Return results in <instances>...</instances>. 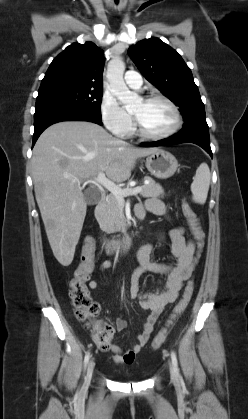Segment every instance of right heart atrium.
Segmentation results:
<instances>
[{"label": "right heart atrium", "instance_id": "right-heart-atrium-1", "mask_svg": "<svg viewBox=\"0 0 248 419\" xmlns=\"http://www.w3.org/2000/svg\"><path fill=\"white\" fill-rule=\"evenodd\" d=\"M100 116L104 126L118 137L127 136L132 128V117L109 93L100 101Z\"/></svg>", "mask_w": 248, "mask_h": 419}]
</instances>
